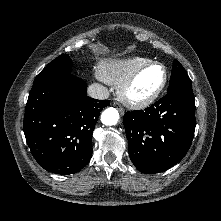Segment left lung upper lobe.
I'll use <instances>...</instances> for the list:
<instances>
[{
	"instance_id": "1",
	"label": "left lung upper lobe",
	"mask_w": 221,
	"mask_h": 221,
	"mask_svg": "<svg viewBox=\"0 0 221 221\" xmlns=\"http://www.w3.org/2000/svg\"><path fill=\"white\" fill-rule=\"evenodd\" d=\"M181 83H192V82L188 74L184 70V67L180 64V62L175 60L173 62L172 74L170 77V84L168 87V91Z\"/></svg>"
}]
</instances>
